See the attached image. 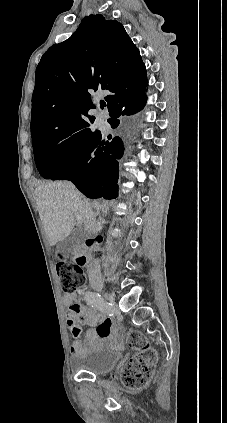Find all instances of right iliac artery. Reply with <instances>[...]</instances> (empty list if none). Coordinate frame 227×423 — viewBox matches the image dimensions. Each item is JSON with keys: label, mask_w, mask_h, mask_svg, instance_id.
<instances>
[{"label": "right iliac artery", "mask_w": 227, "mask_h": 423, "mask_svg": "<svg viewBox=\"0 0 227 423\" xmlns=\"http://www.w3.org/2000/svg\"><path fill=\"white\" fill-rule=\"evenodd\" d=\"M86 302L93 308L110 316L111 320H116L113 309H110V303L106 302L99 293L87 291L85 293Z\"/></svg>", "instance_id": "1"}]
</instances>
